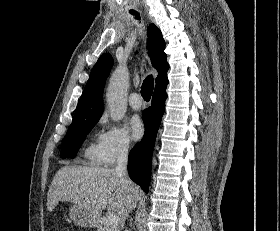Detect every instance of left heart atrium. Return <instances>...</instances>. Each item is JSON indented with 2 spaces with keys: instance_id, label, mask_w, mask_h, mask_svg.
<instances>
[{
  "instance_id": "left-heart-atrium-1",
  "label": "left heart atrium",
  "mask_w": 280,
  "mask_h": 231,
  "mask_svg": "<svg viewBox=\"0 0 280 231\" xmlns=\"http://www.w3.org/2000/svg\"><path fill=\"white\" fill-rule=\"evenodd\" d=\"M128 131L132 140L137 141L142 138V136L144 135L145 128L139 116L135 115L129 119Z\"/></svg>"
}]
</instances>
